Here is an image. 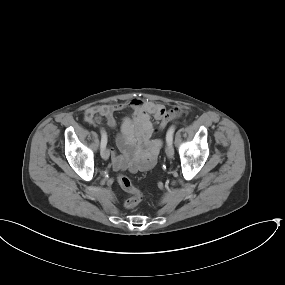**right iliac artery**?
<instances>
[{
  "label": "right iliac artery",
  "instance_id": "right-iliac-artery-1",
  "mask_svg": "<svg viewBox=\"0 0 285 285\" xmlns=\"http://www.w3.org/2000/svg\"><path fill=\"white\" fill-rule=\"evenodd\" d=\"M107 145V135L104 130H101V149L105 148Z\"/></svg>",
  "mask_w": 285,
  "mask_h": 285
}]
</instances>
